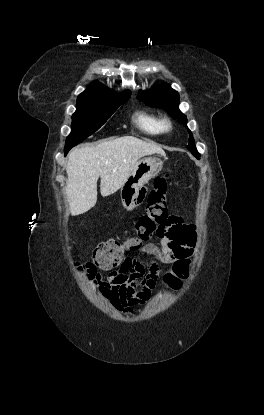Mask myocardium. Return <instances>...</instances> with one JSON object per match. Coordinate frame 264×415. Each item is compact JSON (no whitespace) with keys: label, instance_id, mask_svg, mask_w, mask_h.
I'll list each match as a JSON object with an SVG mask.
<instances>
[{"label":"myocardium","instance_id":"1","mask_svg":"<svg viewBox=\"0 0 264 415\" xmlns=\"http://www.w3.org/2000/svg\"><path fill=\"white\" fill-rule=\"evenodd\" d=\"M163 131H169L172 128V123L169 118L165 117L161 121Z\"/></svg>","mask_w":264,"mask_h":415}]
</instances>
